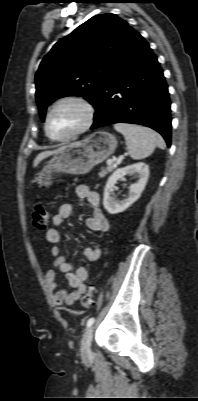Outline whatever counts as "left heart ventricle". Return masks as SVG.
Returning a JSON list of instances; mask_svg holds the SVG:
<instances>
[{"label":"left heart ventricle","mask_w":198,"mask_h":401,"mask_svg":"<svg viewBox=\"0 0 198 401\" xmlns=\"http://www.w3.org/2000/svg\"><path fill=\"white\" fill-rule=\"evenodd\" d=\"M84 120L85 112L79 105L64 103L51 114L49 132L55 138L67 136L80 128Z\"/></svg>","instance_id":"1"}]
</instances>
